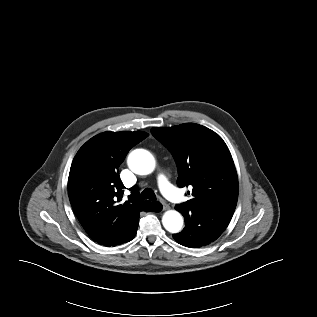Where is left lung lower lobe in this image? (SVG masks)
Returning <instances> with one entry per match:
<instances>
[{"mask_svg":"<svg viewBox=\"0 0 317 317\" xmlns=\"http://www.w3.org/2000/svg\"><path fill=\"white\" fill-rule=\"evenodd\" d=\"M185 219V228L173 238L181 245L198 248L214 242L228 226L233 213L200 207L184 210L175 207Z\"/></svg>","mask_w":317,"mask_h":317,"instance_id":"obj_1","label":"left lung lower lobe"}]
</instances>
